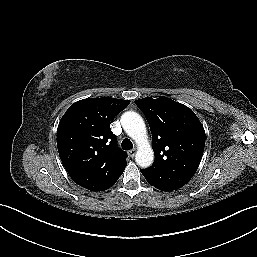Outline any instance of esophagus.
<instances>
[{
    "mask_svg": "<svg viewBox=\"0 0 257 257\" xmlns=\"http://www.w3.org/2000/svg\"><path fill=\"white\" fill-rule=\"evenodd\" d=\"M136 150L135 149H131L128 151V155L133 158L135 156Z\"/></svg>",
    "mask_w": 257,
    "mask_h": 257,
    "instance_id": "34e87169",
    "label": "esophagus"
}]
</instances>
